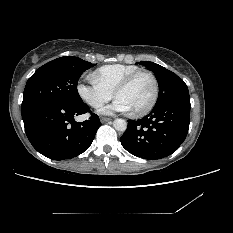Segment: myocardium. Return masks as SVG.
I'll return each instance as SVG.
<instances>
[{
	"label": "myocardium",
	"mask_w": 233,
	"mask_h": 233,
	"mask_svg": "<svg viewBox=\"0 0 233 233\" xmlns=\"http://www.w3.org/2000/svg\"><path fill=\"white\" fill-rule=\"evenodd\" d=\"M140 75H147L153 84V94H152V98L150 100V102L148 103V105L142 109L139 110H135L132 111L133 115L135 116H143L148 114L156 105L157 100H158V96H159V82L158 79L156 78V76L148 71V70H138L136 72L131 73L130 75H128L125 79H123L115 88L114 90V96L116 97L117 94L126 89L128 86L131 85V83Z\"/></svg>",
	"instance_id": "f54148a6"
}]
</instances>
